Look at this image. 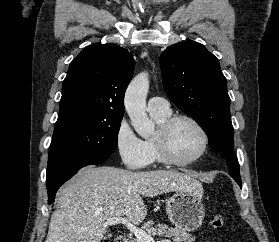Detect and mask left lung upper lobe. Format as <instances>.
<instances>
[{
    "label": "left lung upper lobe",
    "mask_w": 279,
    "mask_h": 242,
    "mask_svg": "<svg viewBox=\"0 0 279 242\" xmlns=\"http://www.w3.org/2000/svg\"><path fill=\"white\" fill-rule=\"evenodd\" d=\"M160 65L169 99L200 124L211 149L227 159L229 175L241 183L227 82L217 57L202 44L185 41L163 51Z\"/></svg>",
    "instance_id": "obj_1"
}]
</instances>
